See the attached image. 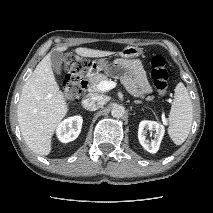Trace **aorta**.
<instances>
[{
	"label": "aorta",
	"instance_id": "762f6f07",
	"mask_svg": "<svg viewBox=\"0 0 213 213\" xmlns=\"http://www.w3.org/2000/svg\"><path fill=\"white\" fill-rule=\"evenodd\" d=\"M124 113H125V108L122 105H115L112 108V111H111V115L114 118H120V117H122L124 115Z\"/></svg>",
	"mask_w": 213,
	"mask_h": 213
}]
</instances>
